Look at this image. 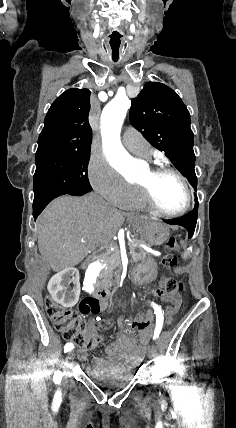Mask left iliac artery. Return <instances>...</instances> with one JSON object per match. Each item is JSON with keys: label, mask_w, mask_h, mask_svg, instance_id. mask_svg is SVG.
I'll list each match as a JSON object with an SVG mask.
<instances>
[{"label": "left iliac artery", "mask_w": 236, "mask_h": 428, "mask_svg": "<svg viewBox=\"0 0 236 428\" xmlns=\"http://www.w3.org/2000/svg\"><path fill=\"white\" fill-rule=\"evenodd\" d=\"M152 306L155 310L154 313L156 314V327H155L154 336H153V339L155 340L156 338L159 337V334L162 330L163 320H164V317H163L164 311H162L161 306H158L153 302H152Z\"/></svg>", "instance_id": "44dca946"}]
</instances>
